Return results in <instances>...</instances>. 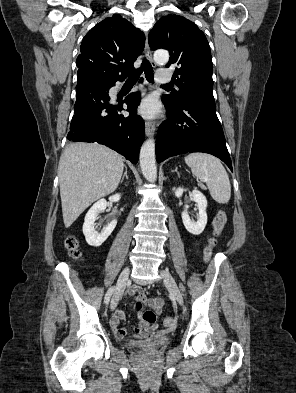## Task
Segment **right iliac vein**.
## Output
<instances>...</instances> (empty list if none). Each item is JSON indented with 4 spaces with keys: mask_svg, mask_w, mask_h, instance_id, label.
<instances>
[{
    "mask_svg": "<svg viewBox=\"0 0 296 393\" xmlns=\"http://www.w3.org/2000/svg\"><path fill=\"white\" fill-rule=\"evenodd\" d=\"M129 268L126 267L122 273L119 276V279L117 281V287H116V291L113 295V298L111 300V304H110V308L111 310H114L118 304V301L120 299L121 294L123 293L125 286L127 284V280H128V276H129Z\"/></svg>",
    "mask_w": 296,
    "mask_h": 393,
    "instance_id": "right-iliac-vein-1",
    "label": "right iliac vein"
}]
</instances>
